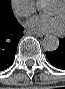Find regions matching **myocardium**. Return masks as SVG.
Here are the masks:
<instances>
[{"label": "myocardium", "mask_w": 65, "mask_h": 89, "mask_svg": "<svg viewBox=\"0 0 65 89\" xmlns=\"http://www.w3.org/2000/svg\"><path fill=\"white\" fill-rule=\"evenodd\" d=\"M64 8H65V2L64 1H58Z\"/></svg>", "instance_id": "1"}]
</instances>
